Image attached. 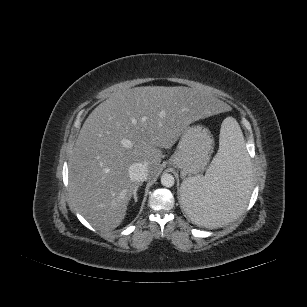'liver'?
Instances as JSON below:
<instances>
[{
    "mask_svg": "<svg viewBox=\"0 0 307 307\" xmlns=\"http://www.w3.org/2000/svg\"><path fill=\"white\" fill-rule=\"evenodd\" d=\"M227 104L188 87L146 86L114 93L85 120L69 159V190L78 212L103 231L117 228L139 183L135 162L156 175L170 149L194 121L223 115Z\"/></svg>",
    "mask_w": 307,
    "mask_h": 307,
    "instance_id": "6515ba94",
    "label": "liver"
}]
</instances>
